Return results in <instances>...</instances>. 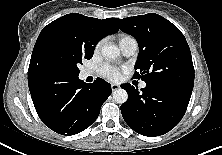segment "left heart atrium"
I'll return each instance as SVG.
<instances>
[{
  "label": "left heart atrium",
  "instance_id": "1",
  "mask_svg": "<svg viewBox=\"0 0 222 155\" xmlns=\"http://www.w3.org/2000/svg\"><path fill=\"white\" fill-rule=\"evenodd\" d=\"M100 73L103 77L111 81H116L121 76V70L109 64L103 65L100 69Z\"/></svg>",
  "mask_w": 222,
  "mask_h": 155
}]
</instances>
